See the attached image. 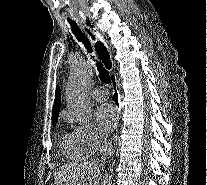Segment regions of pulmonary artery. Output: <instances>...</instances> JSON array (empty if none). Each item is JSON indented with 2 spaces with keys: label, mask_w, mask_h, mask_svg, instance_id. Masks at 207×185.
Instances as JSON below:
<instances>
[{
  "label": "pulmonary artery",
  "mask_w": 207,
  "mask_h": 185,
  "mask_svg": "<svg viewBox=\"0 0 207 185\" xmlns=\"http://www.w3.org/2000/svg\"><path fill=\"white\" fill-rule=\"evenodd\" d=\"M103 87H96L92 92L91 96L96 101H104L108 98L109 92L106 89H102Z\"/></svg>",
  "instance_id": "1"
}]
</instances>
